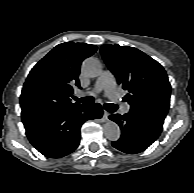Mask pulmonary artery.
<instances>
[{"label": "pulmonary artery", "mask_w": 194, "mask_h": 193, "mask_svg": "<svg viewBox=\"0 0 194 193\" xmlns=\"http://www.w3.org/2000/svg\"><path fill=\"white\" fill-rule=\"evenodd\" d=\"M105 90L106 95L113 99L117 96L115 88L114 76L110 71H103L100 77L97 79L93 92L99 93L100 91ZM130 110V106L125 104L121 107L122 113L126 114Z\"/></svg>", "instance_id": "obj_1"}]
</instances>
